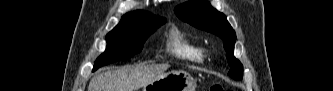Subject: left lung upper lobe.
<instances>
[{"label": "left lung upper lobe", "instance_id": "obj_1", "mask_svg": "<svg viewBox=\"0 0 333 91\" xmlns=\"http://www.w3.org/2000/svg\"><path fill=\"white\" fill-rule=\"evenodd\" d=\"M175 13L181 20L196 28L211 32L224 41L226 57L231 67L228 74L236 80H241L243 66L233 55L236 34L226 16L205 0H190L177 6Z\"/></svg>", "mask_w": 333, "mask_h": 91}]
</instances>
